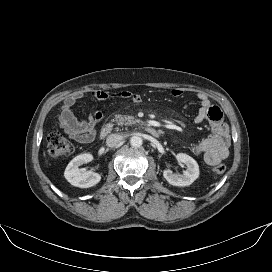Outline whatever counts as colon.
Instances as JSON below:
<instances>
[{
  "label": "colon",
  "mask_w": 272,
  "mask_h": 272,
  "mask_svg": "<svg viewBox=\"0 0 272 272\" xmlns=\"http://www.w3.org/2000/svg\"><path fill=\"white\" fill-rule=\"evenodd\" d=\"M48 150L56 159H63L73 152L72 144L60 132L54 131L48 136ZM226 170L224 164H217L212 168L215 176L222 175Z\"/></svg>",
  "instance_id": "colon-1"
}]
</instances>
